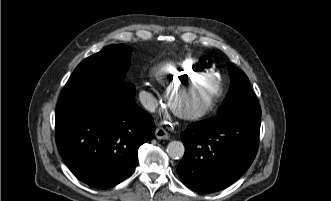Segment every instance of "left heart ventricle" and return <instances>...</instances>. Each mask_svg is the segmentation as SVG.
<instances>
[{
  "label": "left heart ventricle",
  "mask_w": 331,
  "mask_h": 201,
  "mask_svg": "<svg viewBox=\"0 0 331 201\" xmlns=\"http://www.w3.org/2000/svg\"><path fill=\"white\" fill-rule=\"evenodd\" d=\"M212 84L208 82L190 83L174 92L175 103L183 109L198 106L210 93Z\"/></svg>",
  "instance_id": "1"
}]
</instances>
